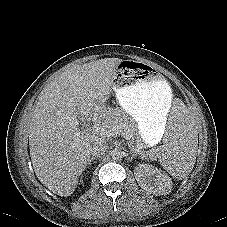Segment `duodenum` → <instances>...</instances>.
Here are the masks:
<instances>
[{
    "instance_id": "obj_1",
    "label": "duodenum",
    "mask_w": 227,
    "mask_h": 227,
    "mask_svg": "<svg viewBox=\"0 0 227 227\" xmlns=\"http://www.w3.org/2000/svg\"><path fill=\"white\" fill-rule=\"evenodd\" d=\"M103 113L101 111H96L92 114L91 119L94 122H98L102 119Z\"/></svg>"
}]
</instances>
